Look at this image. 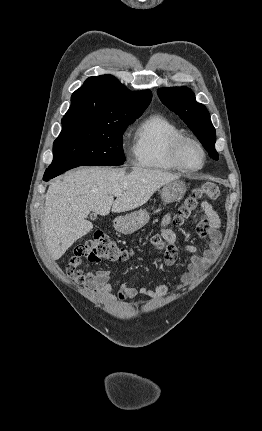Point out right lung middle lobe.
Listing matches in <instances>:
<instances>
[{
    "instance_id": "obj_1",
    "label": "right lung middle lobe",
    "mask_w": 262,
    "mask_h": 431,
    "mask_svg": "<svg viewBox=\"0 0 262 431\" xmlns=\"http://www.w3.org/2000/svg\"><path fill=\"white\" fill-rule=\"evenodd\" d=\"M136 118L62 124V131L53 144L49 168L122 165L125 161L122 134Z\"/></svg>"
}]
</instances>
